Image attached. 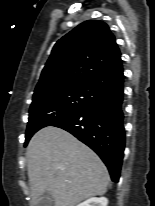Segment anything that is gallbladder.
I'll list each match as a JSON object with an SVG mask.
<instances>
[{"label": "gallbladder", "instance_id": "gallbladder-1", "mask_svg": "<svg viewBox=\"0 0 155 206\" xmlns=\"http://www.w3.org/2000/svg\"><path fill=\"white\" fill-rule=\"evenodd\" d=\"M36 206H53V199L51 195L48 193L42 195Z\"/></svg>", "mask_w": 155, "mask_h": 206}]
</instances>
